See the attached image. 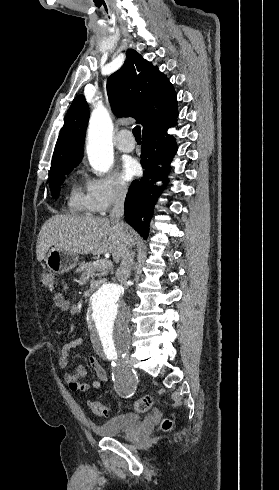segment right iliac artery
Returning <instances> with one entry per match:
<instances>
[{
	"label": "right iliac artery",
	"instance_id": "obj_1",
	"mask_svg": "<svg viewBox=\"0 0 279 490\" xmlns=\"http://www.w3.org/2000/svg\"><path fill=\"white\" fill-rule=\"evenodd\" d=\"M107 358L109 361H116L118 358V355L116 352H109L107 355Z\"/></svg>",
	"mask_w": 279,
	"mask_h": 490
}]
</instances>
